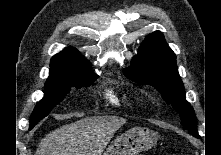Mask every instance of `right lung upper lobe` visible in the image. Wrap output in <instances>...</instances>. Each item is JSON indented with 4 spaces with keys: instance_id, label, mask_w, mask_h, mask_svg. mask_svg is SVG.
I'll list each match as a JSON object with an SVG mask.
<instances>
[{
    "instance_id": "cb5924a9",
    "label": "right lung upper lobe",
    "mask_w": 221,
    "mask_h": 155,
    "mask_svg": "<svg viewBox=\"0 0 221 155\" xmlns=\"http://www.w3.org/2000/svg\"><path fill=\"white\" fill-rule=\"evenodd\" d=\"M50 74L90 69V63L74 48L69 47L51 59Z\"/></svg>"
}]
</instances>
